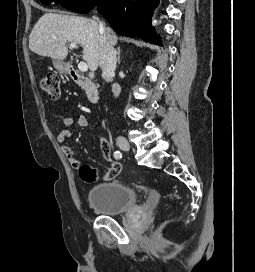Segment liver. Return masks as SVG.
I'll use <instances>...</instances> for the list:
<instances>
[{
	"label": "liver",
	"instance_id": "liver-1",
	"mask_svg": "<svg viewBox=\"0 0 255 272\" xmlns=\"http://www.w3.org/2000/svg\"><path fill=\"white\" fill-rule=\"evenodd\" d=\"M111 45L117 43V35L109 27L105 28ZM100 31L96 20L84 17L45 13L35 24L29 36L32 52L62 61L68 54L66 43L83 47V60L91 71L98 68L100 60Z\"/></svg>",
	"mask_w": 255,
	"mask_h": 272
}]
</instances>
